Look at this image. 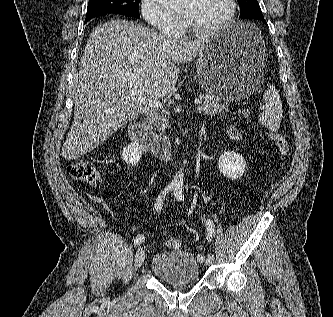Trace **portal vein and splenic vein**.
<instances>
[{
	"label": "portal vein and splenic vein",
	"mask_w": 333,
	"mask_h": 317,
	"mask_svg": "<svg viewBox=\"0 0 333 317\" xmlns=\"http://www.w3.org/2000/svg\"><path fill=\"white\" fill-rule=\"evenodd\" d=\"M130 91H131V93L129 95V98L140 101L141 103H147L148 106L155 108V109L163 108V104L159 100L146 99L142 95V93L137 90L136 87H132ZM202 101H203V96L196 99L194 101V103L196 105H200L202 103Z\"/></svg>",
	"instance_id": "1"
}]
</instances>
